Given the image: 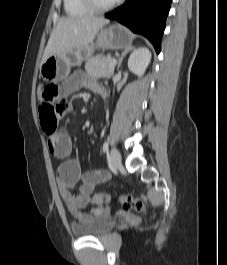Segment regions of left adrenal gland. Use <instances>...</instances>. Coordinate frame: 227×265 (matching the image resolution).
<instances>
[{
  "label": "left adrenal gland",
  "mask_w": 227,
  "mask_h": 265,
  "mask_svg": "<svg viewBox=\"0 0 227 265\" xmlns=\"http://www.w3.org/2000/svg\"><path fill=\"white\" fill-rule=\"evenodd\" d=\"M131 50H134V47H130V48H128V49H125V50L122 52V54H121V56H120V58H119V61H118L117 70L120 69L121 64H122V61H123V58L125 57V55H126L129 51H131Z\"/></svg>",
  "instance_id": "a2214340"
}]
</instances>
